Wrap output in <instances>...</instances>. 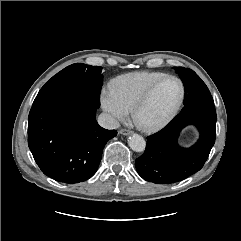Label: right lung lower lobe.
<instances>
[{
  "label": "right lung lower lobe",
  "mask_w": 241,
  "mask_h": 241,
  "mask_svg": "<svg viewBox=\"0 0 241 241\" xmlns=\"http://www.w3.org/2000/svg\"><path fill=\"white\" fill-rule=\"evenodd\" d=\"M96 109L85 100L31 108L28 145L45 175L72 184L95 174L106 142L117 135L99 126Z\"/></svg>",
  "instance_id": "obj_1"
}]
</instances>
